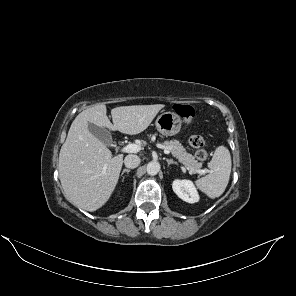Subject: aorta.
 <instances>
[{
	"label": "aorta",
	"instance_id": "aorta-1",
	"mask_svg": "<svg viewBox=\"0 0 296 296\" xmlns=\"http://www.w3.org/2000/svg\"><path fill=\"white\" fill-rule=\"evenodd\" d=\"M147 173L149 175H156L160 171V164L157 161H151L147 164Z\"/></svg>",
	"mask_w": 296,
	"mask_h": 296
}]
</instances>
